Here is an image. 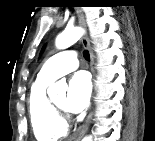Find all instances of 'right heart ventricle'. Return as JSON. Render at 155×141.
Listing matches in <instances>:
<instances>
[{
	"mask_svg": "<svg viewBox=\"0 0 155 141\" xmlns=\"http://www.w3.org/2000/svg\"><path fill=\"white\" fill-rule=\"evenodd\" d=\"M51 82L37 78L29 93L30 122L34 136L39 141H56L67 133L66 125L56 118L46 94Z\"/></svg>",
	"mask_w": 155,
	"mask_h": 141,
	"instance_id": "e07e8e85",
	"label": "right heart ventricle"
}]
</instances>
